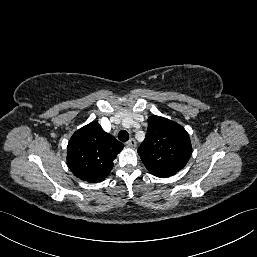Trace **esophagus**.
Listing matches in <instances>:
<instances>
[{
	"label": "esophagus",
	"instance_id": "34e87169",
	"mask_svg": "<svg viewBox=\"0 0 257 257\" xmlns=\"http://www.w3.org/2000/svg\"><path fill=\"white\" fill-rule=\"evenodd\" d=\"M126 145L128 147L134 148V147H136L137 143H136V141L134 139H130L129 141L126 142Z\"/></svg>",
	"mask_w": 257,
	"mask_h": 257
}]
</instances>
